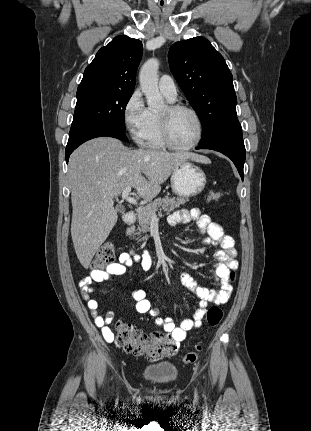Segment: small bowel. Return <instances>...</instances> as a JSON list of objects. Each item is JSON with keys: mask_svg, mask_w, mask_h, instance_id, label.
<instances>
[{"mask_svg": "<svg viewBox=\"0 0 311 431\" xmlns=\"http://www.w3.org/2000/svg\"><path fill=\"white\" fill-rule=\"evenodd\" d=\"M191 221H194L198 229L205 234L204 243L212 244L220 248L215 253L217 263L212 271L214 278L220 282V288L209 289L200 287L190 275L183 273L181 275L182 284L199 297L200 303L193 316L182 320L178 325H176L170 317L159 316L158 308L152 306L144 290L135 289L131 293V297L135 302L136 311L140 314H149L154 317L155 324L162 327L167 333V337L177 344L186 338L188 331L201 326L202 319L210 304L220 305L228 301L232 292V286L228 282L229 275L238 266L234 239L226 235L221 225L212 221L208 215L202 214L198 208H192L190 210L183 209L176 211L169 216V223L174 227ZM134 263H139L144 271H148L152 266V259L147 253L140 256L134 254L132 251L123 252L120 254L117 262L109 264L102 270H92L79 282L82 297L91 312L94 323L101 329L104 339L109 343L114 340V335L109 327L113 319V314L108 313L105 317L99 314L98 302L91 298L94 289L90 285L92 282L100 283L108 281L112 277L121 276L125 274L126 270L132 267Z\"/></svg>", "mask_w": 311, "mask_h": 431, "instance_id": "c3829d8e", "label": "small bowel"}]
</instances>
